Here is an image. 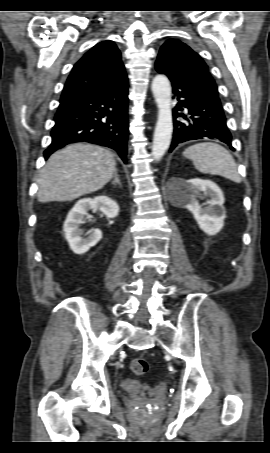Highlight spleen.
Returning <instances> with one entry per match:
<instances>
[{"label": "spleen", "instance_id": "obj_1", "mask_svg": "<svg viewBox=\"0 0 270 453\" xmlns=\"http://www.w3.org/2000/svg\"><path fill=\"white\" fill-rule=\"evenodd\" d=\"M183 154L203 174L221 175L236 183H240L242 180L233 156L217 143L194 144L188 147Z\"/></svg>", "mask_w": 270, "mask_h": 453}]
</instances>
